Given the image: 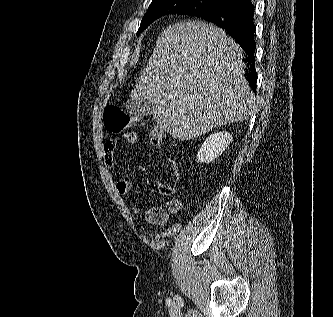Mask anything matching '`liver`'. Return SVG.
<instances>
[{
  "instance_id": "obj_1",
  "label": "liver",
  "mask_w": 333,
  "mask_h": 317,
  "mask_svg": "<svg viewBox=\"0 0 333 317\" xmlns=\"http://www.w3.org/2000/svg\"><path fill=\"white\" fill-rule=\"evenodd\" d=\"M242 57L222 29L199 21L176 23L159 35L131 99L152 102L156 123L179 141L244 121L257 105Z\"/></svg>"
}]
</instances>
